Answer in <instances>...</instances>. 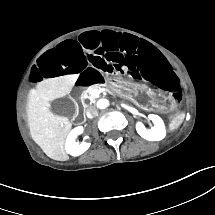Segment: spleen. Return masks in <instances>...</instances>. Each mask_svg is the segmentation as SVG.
<instances>
[{
	"label": "spleen",
	"mask_w": 215,
	"mask_h": 215,
	"mask_svg": "<svg viewBox=\"0 0 215 215\" xmlns=\"http://www.w3.org/2000/svg\"><path fill=\"white\" fill-rule=\"evenodd\" d=\"M184 118V113H181L180 115L173 118V120L169 124V131H174L175 129H177L182 124Z\"/></svg>",
	"instance_id": "spleen-1"
}]
</instances>
